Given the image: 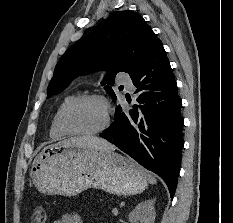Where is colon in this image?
<instances>
[{
    "mask_svg": "<svg viewBox=\"0 0 233 223\" xmlns=\"http://www.w3.org/2000/svg\"><path fill=\"white\" fill-rule=\"evenodd\" d=\"M41 209H39V213H35V217L33 220V223H44L45 219H44V215L43 213H41Z\"/></svg>",
    "mask_w": 233,
    "mask_h": 223,
    "instance_id": "colon-1",
    "label": "colon"
}]
</instances>
